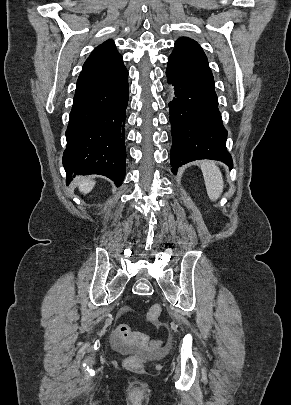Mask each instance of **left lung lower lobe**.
Segmentation results:
<instances>
[{"mask_svg":"<svg viewBox=\"0 0 291 405\" xmlns=\"http://www.w3.org/2000/svg\"><path fill=\"white\" fill-rule=\"evenodd\" d=\"M166 75L176 90V98L169 103L172 172L176 174L178 167L199 159L218 160L232 168L214 78L200 45L190 38L177 40L168 57Z\"/></svg>","mask_w":291,"mask_h":405,"instance_id":"obj_1","label":"left lung lower lobe"}]
</instances>
